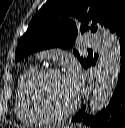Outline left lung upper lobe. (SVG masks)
Instances as JSON below:
<instances>
[{
  "instance_id": "obj_1",
  "label": "left lung upper lobe",
  "mask_w": 125,
  "mask_h": 128,
  "mask_svg": "<svg viewBox=\"0 0 125 128\" xmlns=\"http://www.w3.org/2000/svg\"><path fill=\"white\" fill-rule=\"evenodd\" d=\"M98 23L117 32L125 24V0L47 1L19 40L15 61L43 49L71 48L78 33L96 32ZM74 54L84 68L94 62L91 57H80L76 50Z\"/></svg>"
}]
</instances>
